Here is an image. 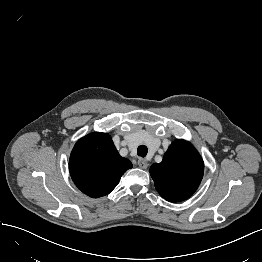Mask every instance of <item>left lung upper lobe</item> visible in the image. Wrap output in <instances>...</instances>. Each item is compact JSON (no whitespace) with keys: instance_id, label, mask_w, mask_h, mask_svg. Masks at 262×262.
I'll list each match as a JSON object with an SVG mask.
<instances>
[{"instance_id":"1","label":"left lung upper lobe","mask_w":262,"mask_h":262,"mask_svg":"<svg viewBox=\"0 0 262 262\" xmlns=\"http://www.w3.org/2000/svg\"><path fill=\"white\" fill-rule=\"evenodd\" d=\"M204 173V163L195 148L184 140H175L161 163L150 168L155 188L170 202L189 198L198 188Z\"/></svg>"}]
</instances>
